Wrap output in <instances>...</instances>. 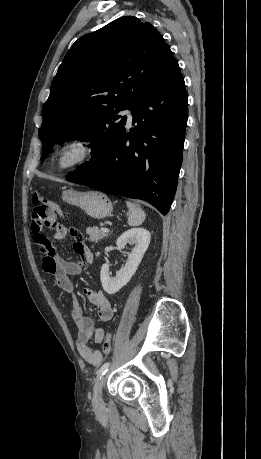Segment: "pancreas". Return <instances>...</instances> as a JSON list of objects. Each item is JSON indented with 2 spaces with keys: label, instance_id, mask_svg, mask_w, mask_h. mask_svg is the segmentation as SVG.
Returning <instances> with one entry per match:
<instances>
[{
  "label": "pancreas",
  "instance_id": "cf45deb5",
  "mask_svg": "<svg viewBox=\"0 0 261 459\" xmlns=\"http://www.w3.org/2000/svg\"><path fill=\"white\" fill-rule=\"evenodd\" d=\"M86 233L89 235V240L95 243L109 235L108 232L100 230L98 227H88Z\"/></svg>",
  "mask_w": 261,
  "mask_h": 459
}]
</instances>
